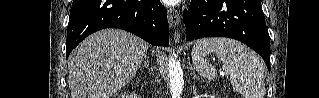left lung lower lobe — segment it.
<instances>
[{
    "instance_id": "left-lung-lower-lobe-1",
    "label": "left lung lower lobe",
    "mask_w": 319,
    "mask_h": 98,
    "mask_svg": "<svg viewBox=\"0 0 319 98\" xmlns=\"http://www.w3.org/2000/svg\"><path fill=\"white\" fill-rule=\"evenodd\" d=\"M186 41L229 37L263 57L270 71V37L260 0H192L183 13Z\"/></svg>"
}]
</instances>
